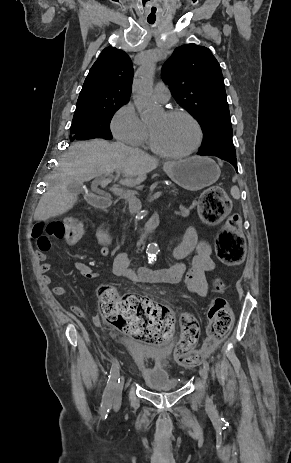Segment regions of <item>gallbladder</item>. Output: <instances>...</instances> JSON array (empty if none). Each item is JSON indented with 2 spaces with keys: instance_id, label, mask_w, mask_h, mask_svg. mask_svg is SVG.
Listing matches in <instances>:
<instances>
[{
  "instance_id": "gallbladder-1",
  "label": "gallbladder",
  "mask_w": 291,
  "mask_h": 463,
  "mask_svg": "<svg viewBox=\"0 0 291 463\" xmlns=\"http://www.w3.org/2000/svg\"><path fill=\"white\" fill-rule=\"evenodd\" d=\"M68 189L71 191V192H80L82 191V189L76 185V184H71L69 185Z\"/></svg>"
}]
</instances>
